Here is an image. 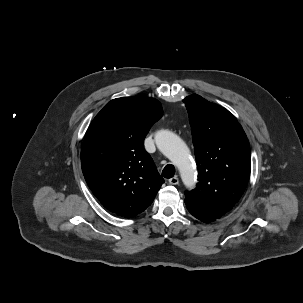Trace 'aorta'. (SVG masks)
<instances>
[{
  "label": "aorta",
  "instance_id": "762f6f07",
  "mask_svg": "<svg viewBox=\"0 0 303 303\" xmlns=\"http://www.w3.org/2000/svg\"><path fill=\"white\" fill-rule=\"evenodd\" d=\"M155 142L158 149L177 166L184 184L192 187L195 183V170L185 143L168 130L158 131L155 135Z\"/></svg>",
  "mask_w": 303,
  "mask_h": 303
}]
</instances>
